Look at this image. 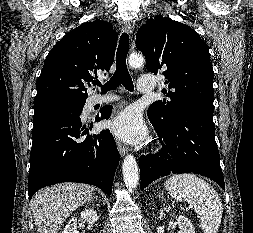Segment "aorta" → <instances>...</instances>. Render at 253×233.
<instances>
[{
	"label": "aorta",
	"instance_id": "1",
	"mask_svg": "<svg viewBox=\"0 0 253 233\" xmlns=\"http://www.w3.org/2000/svg\"><path fill=\"white\" fill-rule=\"evenodd\" d=\"M128 63L133 68L141 67L144 63V57L139 54H132L129 57ZM122 171L126 187L130 190H134L139 181V169L133 155H127L125 157L122 165Z\"/></svg>",
	"mask_w": 253,
	"mask_h": 233
}]
</instances>
